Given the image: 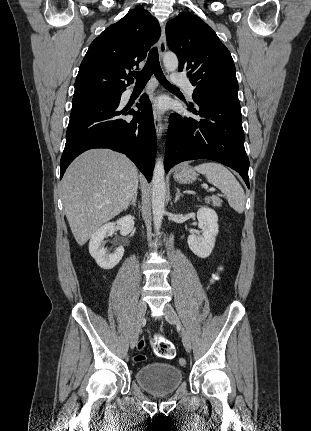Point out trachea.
I'll use <instances>...</instances> for the list:
<instances>
[{
  "mask_svg": "<svg viewBox=\"0 0 311 431\" xmlns=\"http://www.w3.org/2000/svg\"><path fill=\"white\" fill-rule=\"evenodd\" d=\"M155 75L157 80L167 88H177L165 78L164 73L160 67L159 56L157 48H152L149 52L146 65L140 72H132V76L136 78V84H146L151 76Z\"/></svg>",
  "mask_w": 311,
  "mask_h": 431,
  "instance_id": "3493384b",
  "label": "trachea"
}]
</instances>
